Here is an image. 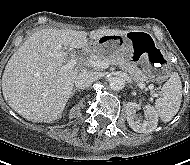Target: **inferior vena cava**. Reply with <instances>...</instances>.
I'll list each match as a JSON object with an SVG mask.
<instances>
[{"label":"inferior vena cava","mask_w":190,"mask_h":165,"mask_svg":"<svg viewBox=\"0 0 190 165\" xmlns=\"http://www.w3.org/2000/svg\"><path fill=\"white\" fill-rule=\"evenodd\" d=\"M98 78L99 74L97 72L83 71L77 75L75 85L78 89H86Z\"/></svg>","instance_id":"inferior-vena-cava-1"}]
</instances>
